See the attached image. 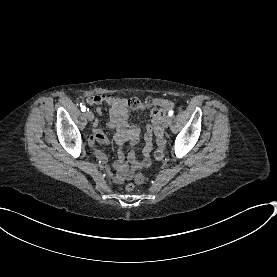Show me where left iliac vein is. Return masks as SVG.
Masks as SVG:
<instances>
[{"mask_svg":"<svg viewBox=\"0 0 277 277\" xmlns=\"http://www.w3.org/2000/svg\"><path fill=\"white\" fill-rule=\"evenodd\" d=\"M171 123V118L170 116H165V118L163 119V127L167 128Z\"/></svg>","mask_w":277,"mask_h":277,"instance_id":"left-iliac-vein-1","label":"left iliac vein"}]
</instances>
